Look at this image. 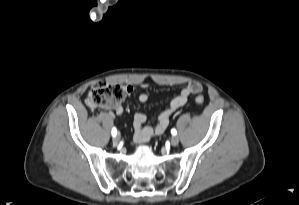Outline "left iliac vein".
I'll use <instances>...</instances> for the list:
<instances>
[{"instance_id":"obj_1","label":"left iliac vein","mask_w":299,"mask_h":205,"mask_svg":"<svg viewBox=\"0 0 299 205\" xmlns=\"http://www.w3.org/2000/svg\"><path fill=\"white\" fill-rule=\"evenodd\" d=\"M179 143V137L174 135L172 138H171V145L172 146H177Z\"/></svg>"}]
</instances>
